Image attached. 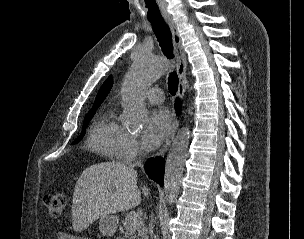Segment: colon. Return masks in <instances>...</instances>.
Returning <instances> with one entry per match:
<instances>
[{"mask_svg":"<svg viewBox=\"0 0 304 239\" xmlns=\"http://www.w3.org/2000/svg\"><path fill=\"white\" fill-rule=\"evenodd\" d=\"M44 204L53 217H59L67 205V198L63 194H48L44 196Z\"/></svg>","mask_w":304,"mask_h":239,"instance_id":"colon-1","label":"colon"}]
</instances>
